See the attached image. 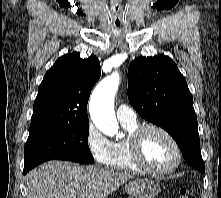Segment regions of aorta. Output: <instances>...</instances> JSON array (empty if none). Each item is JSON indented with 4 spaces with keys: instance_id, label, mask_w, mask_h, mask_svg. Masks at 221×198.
<instances>
[{
    "instance_id": "aorta-1",
    "label": "aorta",
    "mask_w": 221,
    "mask_h": 198,
    "mask_svg": "<svg viewBox=\"0 0 221 198\" xmlns=\"http://www.w3.org/2000/svg\"><path fill=\"white\" fill-rule=\"evenodd\" d=\"M119 83L120 76L117 72L108 75L95 87L89 102V113L93 123L110 137L122 136L114 112V97Z\"/></svg>"
}]
</instances>
